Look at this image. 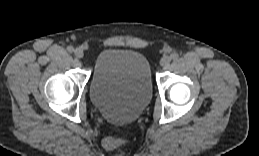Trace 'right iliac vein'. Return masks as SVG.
Masks as SVG:
<instances>
[{
  "mask_svg": "<svg viewBox=\"0 0 259 156\" xmlns=\"http://www.w3.org/2000/svg\"><path fill=\"white\" fill-rule=\"evenodd\" d=\"M74 54H75V56H76L77 58H82V57L84 56V53H83V51H82L81 49H76V50L74 51Z\"/></svg>",
  "mask_w": 259,
  "mask_h": 156,
  "instance_id": "right-iliac-vein-1",
  "label": "right iliac vein"
}]
</instances>
